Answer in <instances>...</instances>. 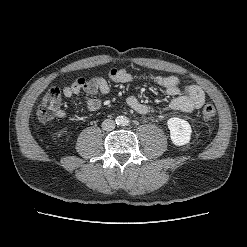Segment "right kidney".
<instances>
[{"mask_svg":"<svg viewBox=\"0 0 247 247\" xmlns=\"http://www.w3.org/2000/svg\"><path fill=\"white\" fill-rule=\"evenodd\" d=\"M61 135H62L61 132H58V133L56 134V136H57L58 138L61 137Z\"/></svg>","mask_w":247,"mask_h":247,"instance_id":"1","label":"right kidney"}]
</instances>
